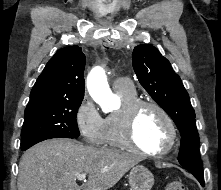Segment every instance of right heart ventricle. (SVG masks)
<instances>
[{"label": "right heart ventricle", "instance_id": "obj_1", "mask_svg": "<svg viewBox=\"0 0 221 190\" xmlns=\"http://www.w3.org/2000/svg\"><path fill=\"white\" fill-rule=\"evenodd\" d=\"M122 99L123 104L132 102L138 99L135 88L129 90H115ZM118 112L112 113L105 118L106 124V140L105 144L112 148L126 149L121 141L120 128H119V115Z\"/></svg>", "mask_w": 221, "mask_h": 190}]
</instances>
